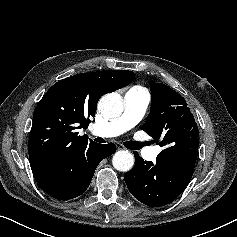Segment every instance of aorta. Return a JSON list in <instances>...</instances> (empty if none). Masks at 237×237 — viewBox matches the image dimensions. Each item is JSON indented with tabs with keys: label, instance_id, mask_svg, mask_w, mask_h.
<instances>
[{
	"label": "aorta",
	"instance_id": "obj_1",
	"mask_svg": "<svg viewBox=\"0 0 237 237\" xmlns=\"http://www.w3.org/2000/svg\"><path fill=\"white\" fill-rule=\"evenodd\" d=\"M123 108L122 97L116 92L103 95L98 102V110L107 117L119 116ZM112 164L116 170L127 172L134 165V156L125 150L117 151L112 158Z\"/></svg>",
	"mask_w": 237,
	"mask_h": 237
}]
</instances>
